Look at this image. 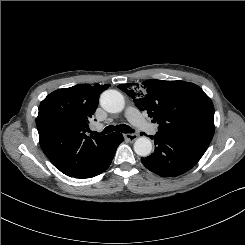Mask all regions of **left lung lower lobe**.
<instances>
[{
  "label": "left lung lower lobe",
  "instance_id": "left-lung-lower-lobe-1",
  "mask_svg": "<svg viewBox=\"0 0 245 245\" xmlns=\"http://www.w3.org/2000/svg\"><path fill=\"white\" fill-rule=\"evenodd\" d=\"M150 137L156 145L154 153L141 158V162L162 177H175L190 170L210 144L190 135L161 131Z\"/></svg>",
  "mask_w": 245,
  "mask_h": 245
}]
</instances>
